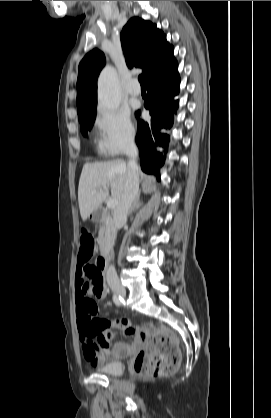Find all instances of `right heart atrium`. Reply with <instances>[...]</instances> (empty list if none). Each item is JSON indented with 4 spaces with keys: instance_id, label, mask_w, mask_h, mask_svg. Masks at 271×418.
<instances>
[{
    "instance_id": "d8ad5b80",
    "label": "right heart atrium",
    "mask_w": 271,
    "mask_h": 418,
    "mask_svg": "<svg viewBox=\"0 0 271 418\" xmlns=\"http://www.w3.org/2000/svg\"><path fill=\"white\" fill-rule=\"evenodd\" d=\"M99 131V146L109 155L128 149L135 139V128L128 111L99 108L95 119Z\"/></svg>"
}]
</instances>
